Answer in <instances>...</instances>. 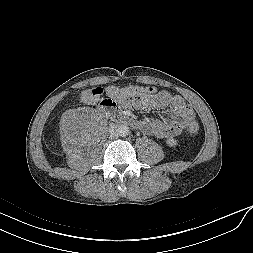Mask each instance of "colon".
<instances>
[{
  "label": "colon",
  "mask_w": 253,
  "mask_h": 253,
  "mask_svg": "<svg viewBox=\"0 0 253 253\" xmlns=\"http://www.w3.org/2000/svg\"><path fill=\"white\" fill-rule=\"evenodd\" d=\"M156 89L153 87L128 86L125 88H117L114 86L103 89L102 87H93L82 92L81 97L87 102H97L103 95L117 99L118 101H130L147 93H153ZM188 131L195 135L199 130V124L195 118H191L187 122Z\"/></svg>",
  "instance_id": "5ec220e1"
}]
</instances>
